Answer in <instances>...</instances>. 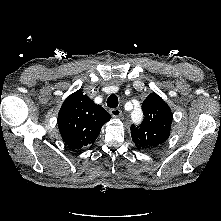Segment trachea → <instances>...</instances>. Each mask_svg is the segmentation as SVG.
Instances as JSON below:
<instances>
[{"instance_id":"1","label":"trachea","mask_w":221,"mask_h":221,"mask_svg":"<svg viewBox=\"0 0 221 221\" xmlns=\"http://www.w3.org/2000/svg\"><path fill=\"white\" fill-rule=\"evenodd\" d=\"M118 103V97L114 94L110 95L107 99V106L110 108H116Z\"/></svg>"}]
</instances>
